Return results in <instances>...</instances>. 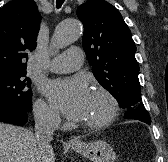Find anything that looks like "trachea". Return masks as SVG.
Returning <instances> with one entry per match:
<instances>
[{"instance_id": "trachea-1", "label": "trachea", "mask_w": 168, "mask_h": 162, "mask_svg": "<svg viewBox=\"0 0 168 162\" xmlns=\"http://www.w3.org/2000/svg\"><path fill=\"white\" fill-rule=\"evenodd\" d=\"M65 0H56V7L60 8Z\"/></svg>"}]
</instances>
